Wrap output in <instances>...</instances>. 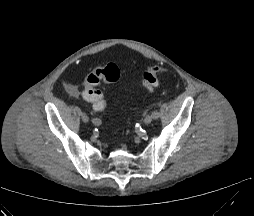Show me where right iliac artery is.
I'll list each match as a JSON object with an SVG mask.
<instances>
[{
	"instance_id": "right-iliac-artery-1",
	"label": "right iliac artery",
	"mask_w": 254,
	"mask_h": 216,
	"mask_svg": "<svg viewBox=\"0 0 254 216\" xmlns=\"http://www.w3.org/2000/svg\"><path fill=\"white\" fill-rule=\"evenodd\" d=\"M91 121L94 125H100L102 123L99 118H92Z\"/></svg>"
}]
</instances>
